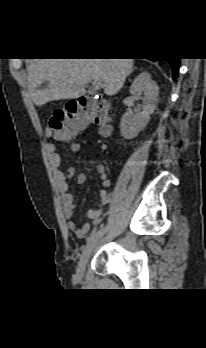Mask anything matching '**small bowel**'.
<instances>
[{
    "instance_id": "small-bowel-1",
    "label": "small bowel",
    "mask_w": 206,
    "mask_h": 348,
    "mask_svg": "<svg viewBox=\"0 0 206 348\" xmlns=\"http://www.w3.org/2000/svg\"><path fill=\"white\" fill-rule=\"evenodd\" d=\"M69 148L72 152H80L85 149V145L80 142H73L70 144ZM47 155L52 168L54 181L61 197L67 229L76 237H82L89 231L91 225H97L101 222L104 214V207L110 202V197L106 189L110 187L111 181L106 174L104 167L98 165L96 169L100 175L101 184L104 187V189H102L99 193L100 205L97 208H91L87 211V216L91 220V224L86 223L82 227H77L76 223L73 221L76 201L74 195L68 190L67 180L76 176L78 184H85L87 177L84 173L77 174L75 168H69L68 170L64 171L62 168L61 157L57 152L55 145L49 144L47 146Z\"/></svg>"
}]
</instances>
